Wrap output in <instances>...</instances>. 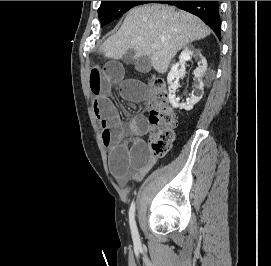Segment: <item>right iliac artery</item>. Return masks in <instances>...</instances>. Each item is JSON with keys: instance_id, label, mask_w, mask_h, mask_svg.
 Instances as JSON below:
<instances>
[{"instance_id": "82829eb1", "label": "right iliac artery", "mask_w": 271, "mask_h": 266, "mask_svg": "<svg viewBox=\"0 0 271 266\" xmlns=\"http://www.w3.org/2000/svg\"><path fill=\"white\" fill-rule=\"evenodd\" d=\"M129 222L134 242H139L138 230L135 222V203L132 202L129 210Z\"/></svg>"}]
</instances>
